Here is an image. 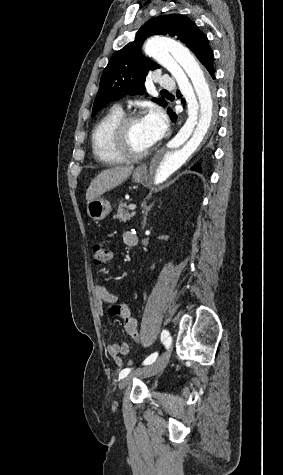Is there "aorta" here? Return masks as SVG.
<instances>
[{
    "label": "aorta",
    "mask_w": 283,
    "mask_h": 475,
    "mask_svg": "<svg viewBox=\"0 0 283 475\" xmlns=\"http://www.w3.org/2000/svg\"><path fill=\"white\" fill-rule=\"evenodd\" d=\"M144 52L177 81L188 105V118L178 133L151 160L147 187L163 186L199 151L216 118L214 85L190 51L168 37L148 39Z\"/></svg>",
    "instance_id": "1"
}]
</instances>
